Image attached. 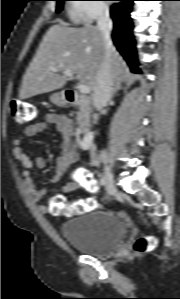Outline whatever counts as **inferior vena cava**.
I'll return each instance as SVG.
<instances>
[{
    "instance_id": "1",
    "label": "inferior vena cava",
    "mask_w": 180,
    "mask_h": 299,
    "mask_svg": "<svg viewBox=\"0 0 180 299\" xmlns=\"http://www.w3.org/2000/svg\"><path fill=\"white\" fill-rule=\"evenodd\" d=\"M97 28L104 37L108 53L106 55L102 68L99 70L97 75L93 101L95 108L101 113H105L103 106H105L110 100L113 92V79L109 53L110 49L112 48V41L110 38V33L112 30V20L110 19L109 10L107 7H102L98 11ZM101 158H106L105 151L101 153Z\"/></svg>"
}]
</instances>
